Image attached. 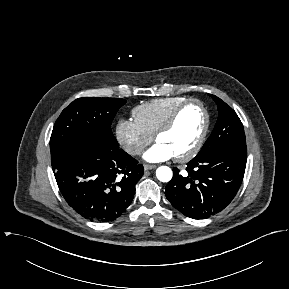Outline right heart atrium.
<instances>
[{
  "label": "right heart atrium",
  "mask_w": 289,
  "mask_h": 289,
  "mask_svg": "<svg viewBox=\"0 0 289 289\" xmlns=\"http://www.w3.org/2000/svg\"><path fill=\"white\" fill-rule=\"evenodd\" d=\"M120 146L131 156H137L148 146L153 137L146 133L135 120L120 119L115 127Z\"/></svg>",
  "instance_id": "1"
}]
</instances>
